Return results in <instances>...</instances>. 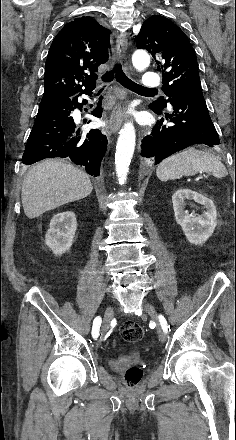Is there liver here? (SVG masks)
<instances>
[{
    "mask_svg": "<svg viewBox=\"0 0 236 440\" xmlns=\"http://www.w3.org/2000/svg\"><path fill=\"white\" fill-rule=\"evenodd\" d=\"M93 190L87 174L76 167L55 160L34 166L22 184V206L29 219L66 203L83 199Z\"/></svg>",
    "mask_w": 236,
    "mask_h": 440,
    "instance_id": "liver-1",
    "label": "liver"
}]
</instances>
